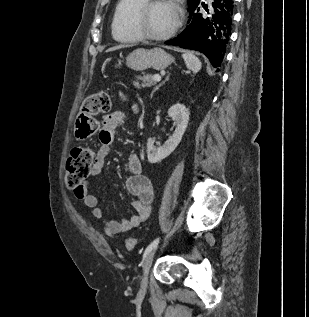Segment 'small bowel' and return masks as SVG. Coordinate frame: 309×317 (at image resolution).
<instances>
[{
	"label": "small bowel",
	"instance_id": "obj_1",
	"mask_svg": "<svg viewBox=\"0 0 309 317\" xmlns=\"http://www.w3.org/2000/svg\"><path fill=\"white\" fill-rule=\"evenodd\" d=\"M125 119V115L121 111L112 112L104 117L102 129L99 132L100 147L92 166L91 176L98 177L101 175L105 159L110 154L115 142L116 129L125 122ZM128 171L129 176L126 179L125 186L128 193L137 198L133 203L135 215L130 219L121 221L105 219L103 210L98 206V199L94 194L90 193L87 182H84L80 188L74 191L75 197L83 205L92 209V216L95 219L102 220L104 232L110 237H118L137 227L148 218L151 211L154 198L152 184L149 178L142 174L141 163L136 154L129 156Z\"/></svg>",
	"mask_w": 309,
	"mask_h": 317
}]
</instances>
